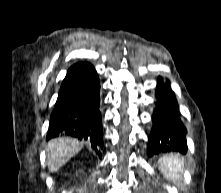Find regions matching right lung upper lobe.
Here are the masks:
<instances>
[{
    "label": "right lung upper lobe",
    "instance_id": "1",
    "mask_svg": "<svg viewBox=\"0 0 221 193\" xmlns=\"http://www.w3.org/2000/svg\"><path fill=\"white\" fill-rule=\"evenodd\" d=\"M85 63H86V62H84V63H77V64L73 65L72 67H70V69L68 70V73H67V75H66V77H65L64 80H66L67 77H68L72 72H74L76 69H78L80 66H82V65L85 64Z\"/></svg>",
    "mask_w": 221,
    "mask_h": 193
}]
</instances>
